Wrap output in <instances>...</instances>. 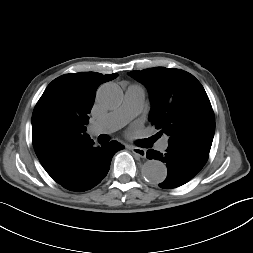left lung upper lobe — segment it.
I'll return each instance as SVG.
<instances>
[{"label":"left lung upper lobe","mask_w":253,"mask_h":253,"mask_svg":"<svg viewBox=\"0 0 253 253\" xmlns=\"http://www.w3.org/2000/svg\"><path fill=\"white\" fill-rule=\"evenodd\" d=\"M149 93V121L169 136L168 144L186 146L209 154L215 116L201 83L180 69L155 67L129 72Z\"/></svg>","instance_id":"left-lung-upper-lobe-1"}]
</instances>
